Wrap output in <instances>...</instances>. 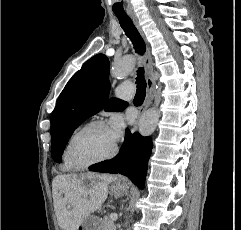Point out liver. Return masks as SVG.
Returning <instances> with one entry per match:
<instances>
[{"label": "liver", "instance_id": "6515ba94", "mask_svg": "<svg viewBox=\"0 0 241 230\" xmlns=\"http://www.w3.org/2000/svg\"><path fill=\"white\" fill-rule=\"evenodd\" d=\"M87 176L89 184L80 183L76 175H58L53 180L54 206L63 230H77L87 216L100 209L107 199L109 183L116 180L106 174Z\"/></svg>", "mask_w": 241, "mask_h": 230}]
</instances>
